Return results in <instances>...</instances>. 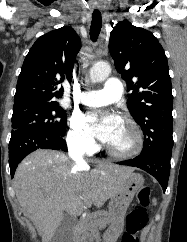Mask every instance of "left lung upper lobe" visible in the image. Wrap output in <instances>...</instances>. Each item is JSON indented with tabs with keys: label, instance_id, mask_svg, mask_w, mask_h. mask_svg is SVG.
<instances>
[{
	"label": "left lung upper lobe",
	"instance_id": "5c2ea615",
	"mask_svg": "<svg viewBox=\"0 0 187 242\" xmlns=\"http://www.w3.org/2000/svg\"><path fill=\"white\" fill-rule=\"evenodd\" d=\"M109 51L127 83V107L143 130L141 154L172 149V85L167 57L158 39L123 20L111 31Z\"/></svg>",
	"mask_w": 187,
	"mask_h": 242
}]
</instances>
